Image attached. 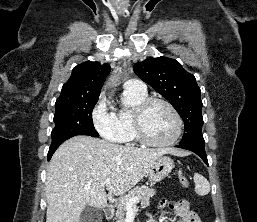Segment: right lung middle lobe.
Wrapping results in <instances>:
<instances>
[{"label": "right lung middle lobe", "instance_id": "dd1d6c3e", "mask_svg": "<svg viewBox=\"0 0 257 222\" xmlns=\"http://www.w3.org/2000/svg\"><path fill=\"white\" fill-rule=\"evenodd\" d=\"M98 97L99 95L87 96L56 102L51 146L63 143L76 135L99 136L92 121V110Z\"/></svg>", "mask_w": 257, "mask_h": 222}]
</instances>
